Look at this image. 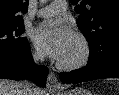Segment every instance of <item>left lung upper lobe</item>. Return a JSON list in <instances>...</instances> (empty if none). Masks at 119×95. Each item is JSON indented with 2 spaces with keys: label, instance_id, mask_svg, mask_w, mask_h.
<instances>
[{
  "label": "left lung upper lobe",
  "instance_id": "5c2ea615",
  "mask_svg": "<svg viewBox=\"0 0 119 95\" xmlns=\"http://www.w3.org/2000/svg\"><path fill=\"white\" fill-rule=\"evenodd\" d=\"M70 1L76 5V22L89 43L91 58L104 61L119 49V0Z\"/></svg>",
  "mask_w": 119,
  "mask_h": 95
}]
</instances>
